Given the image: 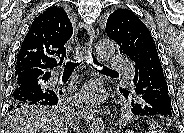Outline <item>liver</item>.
<instances>
[{
	"mask_svg": "<svg viewBox=\"0 0 184 133\" xmlns=\"http://www.w3.org/2000/svg\"><path fill=\"white\" fill-rule=\"evenodd\" d=\"M64 119L46 107L31 106L10 119L6 133H67Z\"/></svg>",
	"mask_w": 184,
	"mask_h": 133,
	"instance_id": "liver-1",
	"label": "liver"
}]
</instances>
